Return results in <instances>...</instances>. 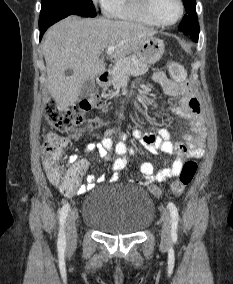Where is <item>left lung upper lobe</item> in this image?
<instances>
[{
	"label": "left lung upper lobe",
	"mask_w": 233,
	"mask_h": 284,
	"mask_svg": "<svg viewBox=\"0 0 233 284\" xmlns=\"http://www.w3.org/2000/svg\"><path fill=\"white\" fill-rule=\"evenodd\" d=\"M187 15L178 26L179 31L188 35H199V23L195 10L196 0H183Z\"/></svg>",
	"instance_id": "obj_1"
}]
</instances>
